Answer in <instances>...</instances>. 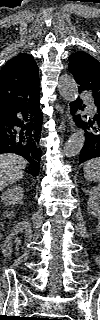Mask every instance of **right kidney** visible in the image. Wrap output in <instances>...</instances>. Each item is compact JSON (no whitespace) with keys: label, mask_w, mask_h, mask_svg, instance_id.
<instances>
[{"label":"right kidney","mask_w":100,"mask_h":320,"mask_svg":"<svg viewBox=\"0 0 100 320\" xmlns=\"http://www.w3.org/2000/svg\"><path fill=\"white\" fill-rule=\"evenodd\" d=\"M24 190L20 185H14L8 188L2 195L1 201L5 205H15L18 204L23 199ZM6 217L12 216V214L6 213Z\"/></svg>","instance_id":"ca27d5eb"}]
</instances>
